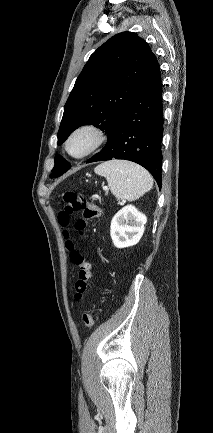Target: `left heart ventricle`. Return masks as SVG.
I'll list each match as a JSON object with an SVG mask.
<instances>
[{"mask_svg":"<svg viewBox=\"0 0 213 433\" xmlns=\"http://www.w3.org/2000/svg\"><path fill=\"white\" fill-rule=\"evenodd\" d=\"M91 137L86 134L76 136L70 143V151L74 155L83 153L90 145Z\"/></svg>","mask_w":213,"mask_h":433,"instance_id":"b2bd125f","label":"left heart ventricle"}]
</instances>
